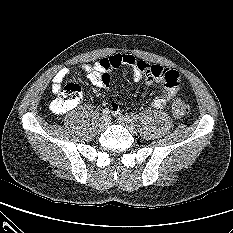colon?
<instances>
[{
  "label": "colon",
  "instance_id": "colon-1",
  "mask_svg": "<svg viewBox=\"0 0 233 233\" xmlns=\"http://www.w3.org/2000/svg\"><path fill=\"white\" fill-rule=\"evenodd\" d=\"M81 99V87L76 83H69L59 91L50 108L53 112L64 114L76 107ZM190 112L189 105L181 98H176L172 104V113L177 119H183Z\"/></svg>",
  "mask_w": 233,
  "mask_h": 233
}]
</instances>
